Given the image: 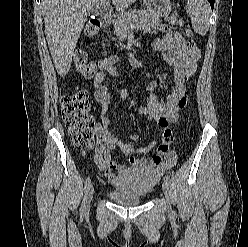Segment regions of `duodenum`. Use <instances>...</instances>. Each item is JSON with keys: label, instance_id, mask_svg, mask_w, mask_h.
<instances>
[{"label": "duodenum", "instance_id": "410a0bca", "mask_svg": "<svg viewBox=\"0 0 248 247\" xmlns=\"http://www.w3.org/2000/svg\"><path fill=\"white\" fill-rule=\"evenodd\" d=\"M97 21H98V24L100 26L102 25V26L106 27L109 25V18L107 15H99Z\"/></svg>", "mask_w": 248, "mask_h": 247}]
</instances>
